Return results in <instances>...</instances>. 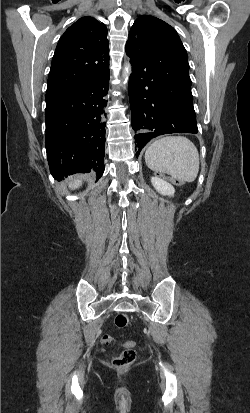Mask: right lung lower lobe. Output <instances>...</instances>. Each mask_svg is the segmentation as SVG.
<instances>
[{"label": "right lung lower lobe", "instance_id": "98d812e1", "mask_svg": "<svg viewBox=\"0 0 250 413\" xmlns=\"http://www.w3.org/2000/svg\"><path fill=\"white\" fill-rule=\"evenodd\" d=\"M109 70L88 83L46 93L45 145L52 176L104 172Z\"/></svg>", "mask_w": 250, "mask_h": 413}]
</instances>
